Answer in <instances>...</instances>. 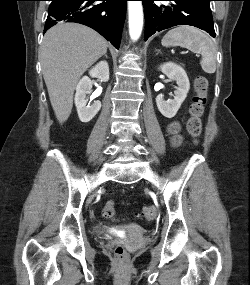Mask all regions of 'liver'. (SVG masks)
Masks as SVG:
<instances>
[{
    "instance_id": "obj_1",
    "label": "liver",
    "mask_w": 250,
    "mask_h": 285,
    "mask_svg": "<svg viewBox=\"0 0 250 285\" xmlns=\"http://www.w3.org/2000/svg\"><path fill=\"white\" fill-rule=\"evenodd\" d=\"M107 47V41L96 31L75 23H59L44 35L40 61L50 102L60 124L71 114L80 77L107 52Z\"/></svg>"
}]
</instances>
